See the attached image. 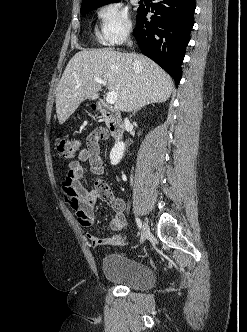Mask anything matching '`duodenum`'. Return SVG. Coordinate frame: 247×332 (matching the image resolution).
I'll list each match as a JSON object with an SVG mask.
<instances>
[{
	"label": "duodenum",
	"mask_w": 247,
	"mask_h": 332,
	"mask_svg": "<svg viewBox=\"0 0 247 332\" xmlns=\"http://www.w3.org/2000/svg\"><path fill=\"white\" fill-rule=\"evenodd\" d=\"M95 108L107 122L111 137L119 141L124 134V125L119 113L103 101H97Z\"/></svg>",
	"instance_id": "obj_1"
}]
</instances>
